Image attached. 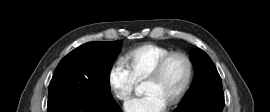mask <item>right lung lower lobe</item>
Returning a JSON list of instances; mask_svg holds the SVG:
<instances>
[{
    "label": "right lung lower lobe",
    "instance_id": "obj_1",
    "mask_svg": "<svg viewBox=\"0 0 270 112\" xmlns=\"http://www.w3.org/2000/svg\"><path fill=\"white\" fill-rule=\"evenodd\" d=\"M48 112H122L114 101L104 104L93 100L83 93H73L67 97L48 103Z\"/></svg>",
    "mask_w": 270,
    "mask_h": 112
}]
</instances>
